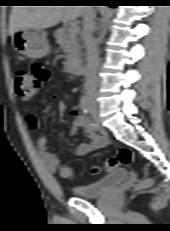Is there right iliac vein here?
<instances>
[{
	"label": "right iliac vein",
	"instance_id": "63e3f726",
	"mask_svg": "<svg viewBox=\"0 0 170 231\" xmlns=\"http://www.w3.org/2000/svg\"><path fill=\"white\" fill-rule=\"evenodd\" d=\"M88 101L90 103V110L94 115H97L98 113V107L95 104V96L94 95H89L88 96Z\"/></svg>",
	"mask_w": 170,
	"mask_h": 231
}]
</instances>
